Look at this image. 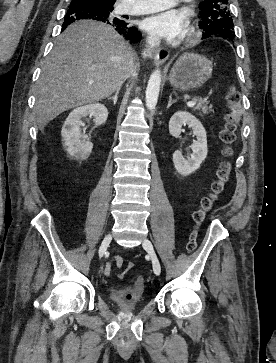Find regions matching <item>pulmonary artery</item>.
<instances>
[{
  "label": "pulmonary artery",
  "mask_w": 276,
  "mask_h": 363,
  "mask_svg": "<svg viewBox=\"0 0 276 363\" xmlns=\"http://www.w3.org/2000/svg\"><path fill=\"white\" fill-rule=\"evenodd\" d=\"M131 1L133 0H125L126 3H129ZM179 1L189 0H144L138 3L136 7H126L123 9V11L129 14H148L172 7L176 5Z\"/></svg>",
  "instance_id": "obj_1"
}]
</instances>
